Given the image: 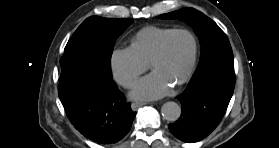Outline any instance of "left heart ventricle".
Wrapping results in <instances>:
<instances>
[{"label": "left heart ventricle", "mask_w": 279, "mask_h": 148, "mask_svg": "<svg viewBox=\"0 0 279 148\" xmlns=\"http://www.w3.org/2000/svg\"><path fill=\"white\" fill-rule=\"evenodd\" d=\"M193 56V41L188 34L179 33L171 37L166 45L165 55L150 67L171 83L178 81L187 71Z\"/></svg>", "instance_id": "1"}]
</instances>
